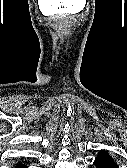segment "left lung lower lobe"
I'll list each match as a JSON object with an SVG mask.
<instances>
[{
    "mask_svg": "<svg viewBox=\"0 0 127 168\" xmlns=\"http://www.w3.org/2000/svg\"><path fill=\"white\" fill-rule=\"evenodd\" d=\"M94 165L97 168H118L114 159L109 156L107 151H100L97 155V158L94 161Z\"/></svg>",
    "mask_w": 127,
    "mask_h": 168,
    "instance_id": "0a47b994",
    "label": "left lung lower lobe"
}]
</instances>
